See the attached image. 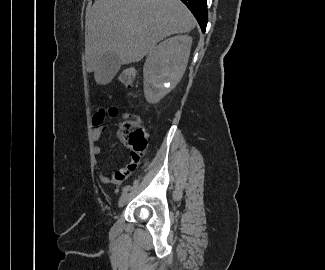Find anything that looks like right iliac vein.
Segmentation results:
<instances>
[{"instance_id":"63e3f726","label":"right iliac vein","mask_w":325,"mask_h":270,"mask_svg":"<svg viewBox=\"0 0 325 270\" xmlns=\"http://www.w3.org/2000/svg\"><path fill=\"white\" fill-rule=\"evenodd\" d=\"M129 200V194L127 192L123 193L118 201V206L123 207Z\"/></svg>"}]
</instances>
